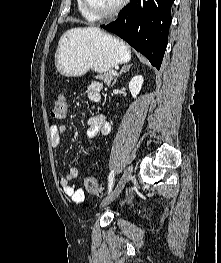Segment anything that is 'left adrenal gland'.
<instances>
[{
	"label": "left adrenal gland",
	"instance_id": "a2214340",
	"mask_svg": "<svg viewBox=\"0 0 221 263\" xmlns=\"http://www.w3.org/2000/svg\"><path fill=\"white\" fill-rule=\"evenodd\" d=\"M131 66H132V64H131V65H128V66H124V67L121 69V71L119 72V74H118L117 77L115 78V80H114L112 86L115 85V83H116L118 77H120V75H121L122 73L129 71V69H130Z\"/></svg>",
	"mask_w": 221,
	"mask_h": 263
}]
</instances>
